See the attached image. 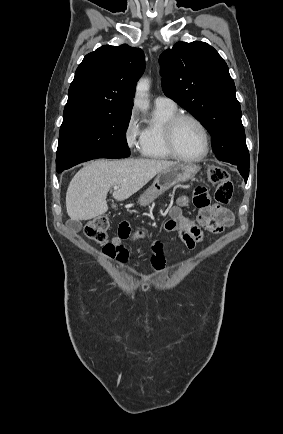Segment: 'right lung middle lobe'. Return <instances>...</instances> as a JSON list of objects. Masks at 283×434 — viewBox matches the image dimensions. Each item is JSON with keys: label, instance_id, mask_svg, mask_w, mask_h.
Returning a JSON list of instances; mask_svg holds the SVG:
<instances>
[{"label": "right lung middle lobe", "instance_id": "obj_1", "mask_svg": "<svg viewBox=\"0 0 283 434\" xmlns=\"http://www.w3.org/2000/svg\"><path fill=\"white\" fill-rule=\"evenodd\" d=\"M131 113L77 115L63 118L56 157L58 173L96 158H125Z\"/></svg>", "mask_w": 283, "mask_h": 434}]
</instances>
